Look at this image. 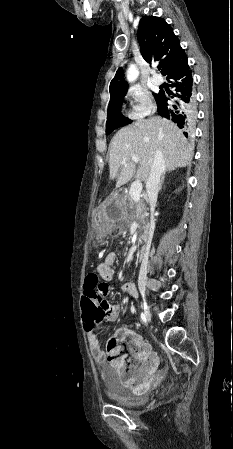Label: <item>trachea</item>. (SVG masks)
I'll return each mask as SVG.
<instances>
[{
    "instance_id": "trachea-1",
    "label": "trachea",
    "mask_w": 233,
    "mask_h": 449,
    "mask_svg": "<svg viewBox=\"0 0 233 449\" xmlns=\"http://www.w3.org/2000/svg\"><path fill=\"white\" fill-rule=\"evenodd\" d=\"M161 67H162L161 65H158V69H159V70L161 69Z\"/></svg>"
}]
</instances>
